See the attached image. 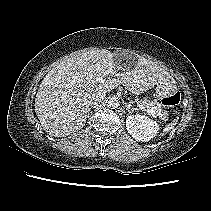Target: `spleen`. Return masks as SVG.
<instances>
[{
	"label": "spleen",
	"instance_id": "3e777b00",
	"mask_svg": "<svg viewBox=\"0 0 211 211\" xmlns=\"http://www.w3.org/2000/svg\"><path fill=\"white\" fill-rule=\"evenodd\" d=\"M175 125H176V121L172 122V123L166 128V132L171 131V130L174 128Z\"/></svg>",
	"mask_w": 211,
	"mask_h": 211
}]
</instances>
